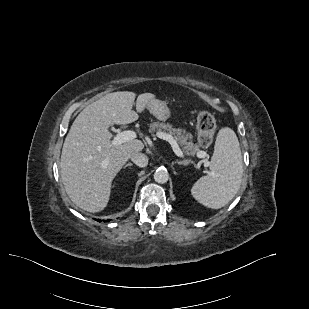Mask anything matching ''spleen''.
Instances as JSON below:
<instances>
[{
	"instance_id": "1",
	"label": "spleen",
	"mask_w": 309,
	"mask_h": 309,
	"mask_svg": "<svg viewBox=\"0 0 309 309\" xmlns=\"http://www.w3.org/2000/svg\"><path fill=\"white\" fill-rule=\"evenodd\" d=\"M243 162L235 132L228 127L220 129L210 162V172L192 187V196L202 205L220 209L228 204L240 189Z\"/></svg>"
}]
</instances>
